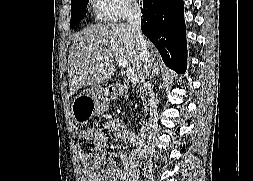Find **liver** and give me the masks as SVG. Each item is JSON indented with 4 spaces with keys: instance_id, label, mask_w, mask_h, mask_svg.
Instances as JSON below:
<instances>
[{
    "instance_id": "liver-1",
    "label": "liver",
    "mask_w": 253,
    "mask_h": 181,
    "mask_svg": "<svg viewBox=\"0 0 253 181\" xmlns=\"http://www.w3.org/2000/svg\"><path fill=\"white\" fill-rule=\"evenodd\" d=\"M151 57V67H159L158 52L146 40ZM124 57L132 66L138 79H146L142 52L132 28L125 23L108 22L90 25L76 33L68 57L70 95L80 88L99 86L115 73L114 55ZM102 56V58H100Z\"/></svg>"
}]
</instances>
